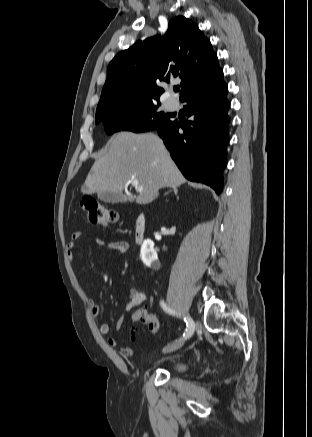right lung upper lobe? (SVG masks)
<instances>
[{"mask_svg": "<svg viewBox=\"0 0 312 437\" xmlns=\"http://www.w3.org/2000/svg\"><path fill=\"white\" fill-rule=\"evenodd\" d=\"M222 69L210 41L189 19L177 16L164 37L139 41L118 53L107 68V80L96 119L129 105L159 100L156 82L181 78L180 100L214 80Z\"/></svg>", "mask_w": 312, "mask_h": 437, "instance_id": "cb5924a9", "label": "right lung upper lobe"}]
</instances>
